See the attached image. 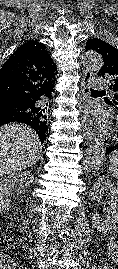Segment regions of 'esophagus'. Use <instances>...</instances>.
Masks as SVG:
<instances>
[{"label":"esophagus","mask_w":118,"mask_h":269,"mask_svg":"<svg viewBox=\"0 0 118 269\" xmlns=\"http://www.w3.org/2000/svg\"><path fill=\"white\" fill-rule=\"evenodd\" d=\"M91 78H92V72L89 70H84L83 75H82V81H81V98H80L81 107L80 108L83 112L82 132L87 142H91L94 140V133L90 129V125L87 123L86 118H85V114H86L85 104L90 94Z\"/></svg>","instance_id":"esophagus-1"}]
</instances>
